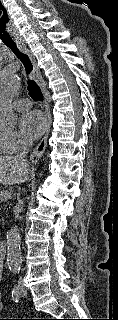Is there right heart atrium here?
I'll return each instance as SVG.
<instances>
[{"label":"right heart atrium","instance_id":"obj_1","mask_svg":"<svg viewBox=\"0 0 118 320\" xmlns=\"http://www.w3.org/2000/svg\"><path fill=\"white\" fill-rule=\"evenodd\" d=\"M26 144L24 137L15 130H0V149L3 153H15Z\"/></svg>","mask_w":118,"mask_h":320}]
</instances>
